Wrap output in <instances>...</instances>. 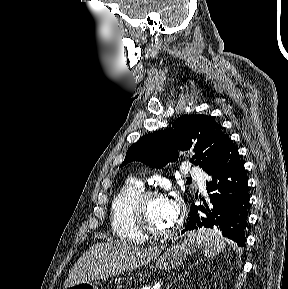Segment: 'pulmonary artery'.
Returning <instances> with one entry per match:
<instances>
[{
  "mask_svg": "<svg viewBox=\"0 0 288 289\" xmlns=\"http://www.w3.org/2000/svg\"><path fill=\"white\" fill-rule=\"evenodd\" d=\"M184 168L188 177L195 179L198 182L200 189L204 190L206 187L207 176L199 169L192 167L191 165L185 164ZM141 185L142 182L138 181Z\"/></svg>",
  "mask_w": 288,
  "mask_h": 289,
  "instance_id": "pulmonary-artery-1",
  "label": "pulmonary artery"
}]
</instances>
